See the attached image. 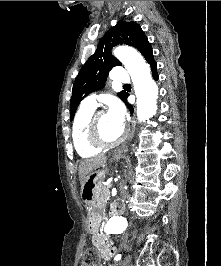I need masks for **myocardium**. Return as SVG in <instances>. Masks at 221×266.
I'll list each match as a JSON object with an SVG mask.
<instances>
[{
	"label": "myocardium",
	"mask_w": 221,
	"mask_h": 266,
	"mask_svg": "<svg viewBox=\"0 0 221 266\" xmlns=\"http://www.w3.org/2000/svg\"><path fill=\"white\" fill-rule=\"evenodd\" d=\"M105 114V112L103 110H98L93 112V114L91 115L89 121H88V125H87V140L88 142L97 148L100 149H106V148H111L114 146L119 145L127 136V131L125 129L122 130L121 134L119 135V137L113 141H108L105 140L101 134H100V130H99V117L101 115Z\"/></svg>",
	"instance_id": "1"
}]
</instances>
